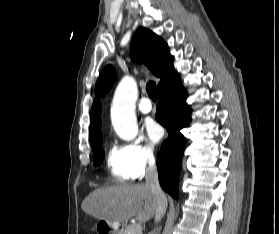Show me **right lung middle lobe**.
I'll list each match as a JSON object with an SVG mask.
<instances>
[{"label": "right lung middle lobe", "instance_id": "right-lung-middle-lobe-1", "mask_svg": "<svg viewBox=\"0 0 279 234\" xmlns=\"http://www.w3.org/2000/svg\"><path fill=\"white\" fill-rule=\"evenodd\" d=\"M102 138L98 139L94 144H92L93 154H94V166H99L104 157V152L101 147Z\"/></svg>", "mask_w": 279, "mask_h": 234}]
</instances>
